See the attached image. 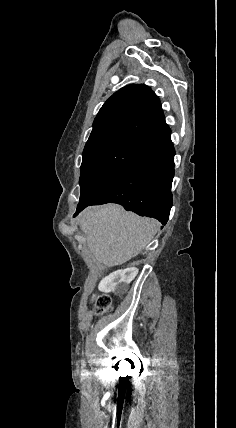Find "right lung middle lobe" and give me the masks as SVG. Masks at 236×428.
<instances>
[{
  "mask_svg": "<svg viewBox=\"0 0 236 428\" xmlns=\"http://www.w3.org/2000/svg\"><path fill=\"white\" fill-rule=\"evenodd\" d=\"M142 146L140 141H127L83 158L78 207L93 201L109 188L127 170Z\"/></svg>",
  "mask_w": 236,
  "mask_h": 428,
  "instance_id": "obj_1",
  "label": "right lung middle lobe"
}]
</instances>
